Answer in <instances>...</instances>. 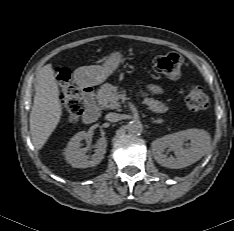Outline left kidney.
<instances>
[{"mask_svg": "<svg viewBox=\"0 0 234 231\" xmlns=\"http://www.w3.org/2000/svg\"><path fill=\"white\" fill-rule=\"evenodd\" d=\"M188 140L190 144H185ZM210 148V135L202 129L179 131L152 142V151L157 163L173 169L184 168L195 163L207 154ZM166 149L174 151L175 157H167L164 153Z\"/></svg>", "mask_w": 234, "mask_h": 231, "instance_id": "1", "label": "left kidney"}]
</instances>
